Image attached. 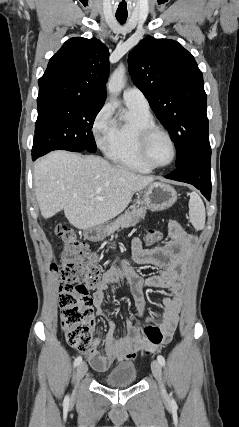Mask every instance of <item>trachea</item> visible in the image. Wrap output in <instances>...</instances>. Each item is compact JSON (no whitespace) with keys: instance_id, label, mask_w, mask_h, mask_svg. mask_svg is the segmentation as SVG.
Wrapping results in <instances>:
<instances>
[{"instance_id":"trachea-1","label":"trachea","mask_w":239,"mask_h":427,"mask_svg":"<svg viewBox=\"0 0 239 427\" xmlns=\"http://www.w3.org/2000/svg\"><path fill=\"white\" fill-rule=\"evenodd\" d=\"M116 19L120 24H124L127 20V16L125 15H116Z\"/></svg>"}]
</instances>
